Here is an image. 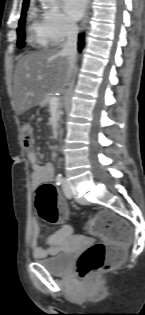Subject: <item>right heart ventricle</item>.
I'll list each match as a JSON object with an SVG mask.
<instances>
[{
  "label": "right heart ventricle",
  "mask_w": 145,
  "mask_h": 315,
  "mask_svg": "<svg viewBox=\"0 0 145 315\" xmlns=\"http://www.w3.org/2000/svg\"><path fill=\"white\" fill-rule=\"evenodd\" d=\"M27 32L29 43L35 49H47L54 44L43 20L34 11L28 17Z\"/></svg>",
  "instance_id": "obj_1"
}]
</instances>
